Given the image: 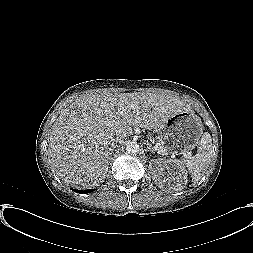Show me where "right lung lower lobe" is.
Segmentation results:
<instances>
[{
    "label": "right lung lower lobe",
    "mask_w": 253,
    "mask_h": 253,
    "mask_svg": "<svg viewBox=\"0 0 253 253\" xmlns=\"http://www.w3.org/2000/svg\"><path fill=\"white\" fill-rule=\"evenodd\" d=\"M75 192H77V193H89V192H91L92 190H90V191H78V190H74Z\"/></svg>",
    "instance_id": "obj_1"
}]
</instances>
